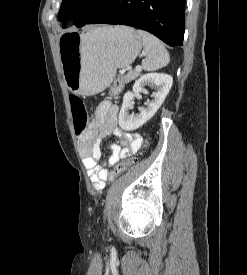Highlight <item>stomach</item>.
Masks as SVG:
<instances>
[{
	"instance_id": "stomach-1",
	"label": "stomach",
	"mask_w": 247,
	"mask_h": 275,
	"mask_svg": "<svg viewBox=\"0 0 247 275\" xmlns=\"http://www.w3.org/2000/svg\"><path fill=\"white\" fill-rule=\"evenodd\" d=\"M141 48V37L126 26L62 34L59 52L67 88L84 96L100 93L112 83L117 68L131 65Z\"/></svg>"
}]
</instances>
